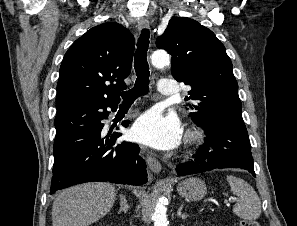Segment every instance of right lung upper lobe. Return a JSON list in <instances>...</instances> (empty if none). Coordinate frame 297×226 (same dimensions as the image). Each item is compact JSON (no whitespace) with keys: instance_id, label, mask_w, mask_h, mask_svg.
<instances>
[{"instance_id":"1","label":"right lung upper lobe","mask_w":297,"mask_h":226,"mask_svg":"<svg viewBox=\"0 0 297 226\" xmlns=\"http://www.w3.org/2000/svg\"><path fill=\"white\" fill-rule=\"evenodd\" d=\"M134 44L130 31L116 22L93 27L78 38L60 66L57 111L86 102L119 103L123 80L131 71Z\"/></svg>"}]
</instances>
